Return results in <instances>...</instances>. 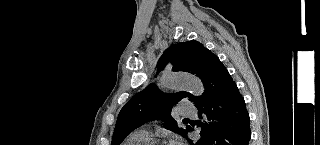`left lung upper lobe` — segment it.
Masks as SVG:
<instances>
[{
    "mask_svg": "<svg viewBox=\"0 0 320 145\" xmlns=\"http://www.w3.org/2000/svg\"><path fill=\"white\" fill-rule=\"evenodd\" d=\"M216 59L218 58L214 53L197 41L177 43L164 51L157 63V72L171 62L173 71L189 72L202 79L206 69ZM185 97L193 103L198 99L197 96L187 92L164 94L154 84L148 85L121 109L111 145H120L130 132L156 118L164 121L166 129L186 137L188 126L185 129L179 128L170 115L172 106Z\"/></svg>",
    "mask_w": 320,
    "mask_h": 145,
    "instance_id": "obj_1",
    "label": "left lung upper lobe"
}]
</instances>
